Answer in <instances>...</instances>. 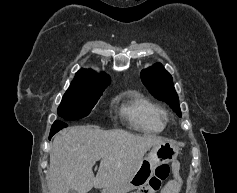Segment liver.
Returning <instances> with one entry per match:
<instances>
[{
  "instance_id": "liver-1",
  "label": "liver",
  "mask_w": 237,
  "mask_h": 193,
  "mask_svg": "<svg viewBox=\"0 0 237 193\" xmlns=\"http://www.w3.org/2000/svg\"><path fill=\"white\" fill-rule=\"evenodd\" d=\"M163 138L95 125L73 126L55 136L50 149L47 174L50 193L76 190L87 193L108 188L129 179L153 146ZM100 160L96 176L92 168Z\"/></svg>"
}]
</instances>
